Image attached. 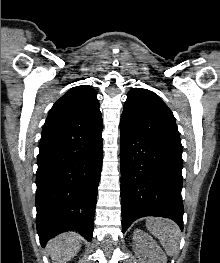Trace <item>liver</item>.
I'll list each match as a JSON object with an SVG mask.
<instances>
[{
    "label": "liver",
    "instance_id": "6515ba94",
    "mask_svg": "<svg viewBox=\"0 0 220 263\" xmlns=\"http://www.w3.org/2000/svg\"><path fill=\"white\" fill-rule=\"evenodd\" d=\"M81 244L82 238L78 233L67 232L50 240L47 251L53 263H66L79 252Z\"/></svg>",
    "mask_w": 220,
    "mask_h": 263
}]
</instances>
